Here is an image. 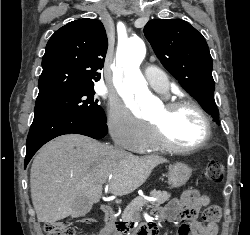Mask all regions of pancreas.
Wrapping results in <instances>:
<instances>
[{
    "mask_svg": "<svg viewBox=\"0 0 250 235\" xmlns=\"http://www.w3.org/2000/svg\"><path fill=\"white\" fill-rule=\"evenodd\" d=\"M151 196L157 198V201L152 202L151 205L148 204L147 201H145L141 197H136L124 210L122 214V219L126 222H138L140 221V211L142 210V207L144 205L147 206V208L152 207H158L161 204L167 202L171 195L167 193L166 191H156L153 190L150 193Z\"/></svg>",
    "mask_w": 250,
    "mask_h": 235,
    "instance_id": "obj_1",
    "label": "pancreas"
}]
</instances>
